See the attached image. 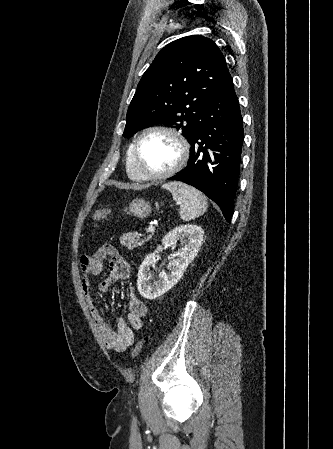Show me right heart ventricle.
Returning a JSON list of instances; mask_svg holds the SVG:
<instances>
[{
	"label": "right heart ventricle",
	"mask_w": 333,
	"mask_h": 449,
	"mask_svg": "<svg viewBox=\"0 0 333 449\" xmlns=\"http://www.w3.org/2000/svg\"><path fill=\"white\" fill-rule=\"evenodd\" d=\"M131 145L127 150V156H126V171L128 176L133 180H141L136 169L134 166V160H133V149Z\"/></svg>",
	"instance_id": "e07e8e85"
}]
</instances>
